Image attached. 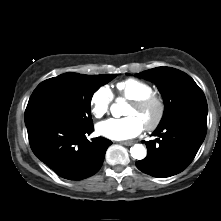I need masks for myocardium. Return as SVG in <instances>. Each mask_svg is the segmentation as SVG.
<instances>
[{"instance_id": "1", "label": "myocardium", "mask_w": 221, "mask_h": 221, "mask_svg": "<svg viewBox=\"0 0 221 221\" xmlns=\"http://www.w3.org/2000/svg\"><path fill=\"white\" fill-rule=\"evenodd\" d=\"M130 105L138 109H144L151 106L156 107L157 112L155 118L152 122L144 126L145 130L147 131H153L157 129L162 123L166 113V104L164 99L156 94H151L149 96L137 100H132L130 101Z\"/></svg>"}]
</instances>
